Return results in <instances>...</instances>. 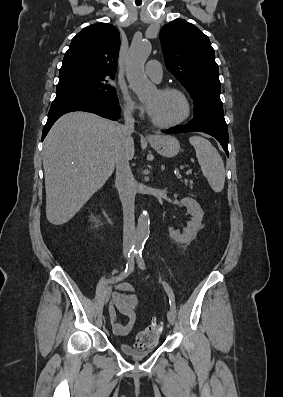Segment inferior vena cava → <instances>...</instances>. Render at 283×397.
<instances>
[{
    "mask_svg": "<svg viewBox=\"0 0 283 397\" xmlns=\"http://www.w3.org/2000/svg\"><path fill=\"white\" fill-rule=\"evenodd\" d=\"M130 107L124 109V124L119 131L123 141H128L134 130L135 120ZM116 178L119 181V196L123 207V248H131L135 236L134 201L135 193L132 189V173L125 150H122L116 161Z\"/></svg>",
    "mask_w": 283,
    "mask_h": 397,
    "instance_id": "obj_1",
    "label": "inferior vena cava"
}]
</instances>
